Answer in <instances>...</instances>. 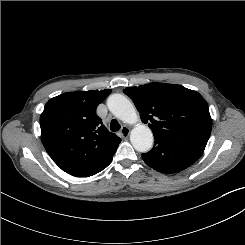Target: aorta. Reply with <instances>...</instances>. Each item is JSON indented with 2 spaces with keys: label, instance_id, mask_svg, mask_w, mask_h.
<instances>
[{
  "label": "aorta",
  "instance_id": "aorta-1",
  "mask_svg": "<svg viewBox=\"0 0 245 245\" xmlns=\"http://www.w3.org/2000/svg\"><path fill=\"white\" fill-rule=\"evenodd\" d=\"M109 111L118 119L135 124L130 134V141L139 152H147L153 145V134L144 124H137L138 115L133 104L121 94H112L107 100Z\"/></svg>",
  "mask_w": 245,
  "mask_h": 245
}]
</instances>
